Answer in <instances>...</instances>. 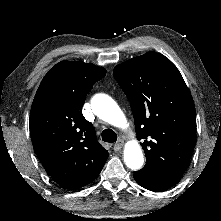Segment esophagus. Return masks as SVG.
<instances>
[{
    "label": "esophagus",
    "mask_w": 221,
    "mask_h": 221,
    "mask_svg": "<svg viewBox=\"0 0 221 221\" xmlns=\"http://www.w3.org/2000/svg\"><path fill=\"white\" fill-rule=\"evenodd\" d=\"M123 145H124V140H123V139H119V140L114 144L113 149H114L115 151H120L121 148L123 147Z\"/></svg>",
    "instance_id": "obj_1"
}]
</instances>
